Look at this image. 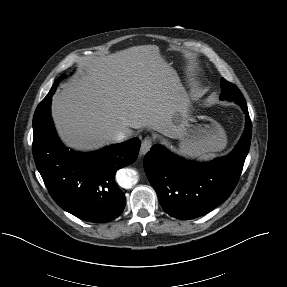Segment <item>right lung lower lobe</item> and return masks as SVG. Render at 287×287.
<instances>
[{"mask_svg": "<svg viewBox=\"0 0 287 287\" xmlns=\"http://www.w3.org/2000/svg\"><path fill=\"white\" fill-rule=\"evenodd\" d=\"M50 90L33 117V156L54 201L74 216L95 223L120 216L126 204L115 182L118 169L132 164L141 141L133 138L92 153L67 149L59 140L50 116Z\"/></svg>", "mask_w": 287, "mask_h": 287, "instance_id": "right-lung-lower-lobe-1", "label": "right lung lower lobe"}]
</instances>
